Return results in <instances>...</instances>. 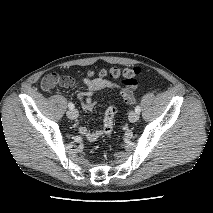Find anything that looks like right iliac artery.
<instances>
[{"instance_id":"right-iliac-artery-1","label":"right iliac artery","mask_w":213,"mask_h":213,"mask_svg":"<svg viewBox=\"0 0 213 213\" xmlns=\"http://www.w3.org/2000/svg\"><path fill=\"white\" fill-rule=\"evenodd\" d=\"M68 107H69L70 109H74V104H73L72 102H70V103L68 104Z\"/></svg>"}]
</instances>
